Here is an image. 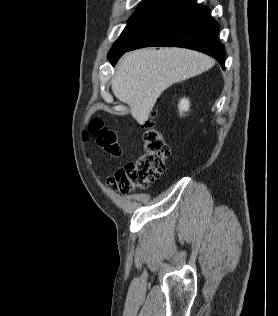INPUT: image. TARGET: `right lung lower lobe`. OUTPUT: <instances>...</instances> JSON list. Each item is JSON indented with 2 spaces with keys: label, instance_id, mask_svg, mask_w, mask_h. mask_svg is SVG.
<instances>
[{
  "label": "right lung lower lobe",
  "instance_id": "98d812e1",
  "mask_svg": "<svg viewBox=\"0 0 278 316\" xmlns=\"http://www.w3.org/2000/svg\"><path fill=\"white\" fill-rule=\"evenodd\" d=\"M196 0H170L148 29L125 51L112 57L115 65L123 53L148 46H176L213 56L224 69V46L218 41L219 24L208 7Z\"/></svg>",
  "mask_w": 278,
  "mask_h": 316
}]
</instances>
